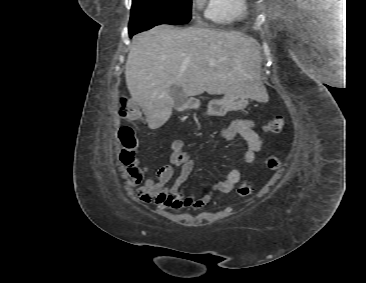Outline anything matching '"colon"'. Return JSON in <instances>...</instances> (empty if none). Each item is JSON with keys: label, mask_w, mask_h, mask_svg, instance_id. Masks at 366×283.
<instances>
[{"label": "colon", "mask_w": 366, "mask_h": 283, "mask_svg": "<svg viewBox=\"0 0 366 283\" xmlns=\"http://www.w3.org/2000/svg\"><path fill=\"white\" fill-rule=\"evenodd\" d=\"M119 114L121 117L127 120H137L140 116V110L137 104L131 99H124L119 108ZM285 126V119L281 115L272 117L265 125V130L268 133L277 134L280 133ZM119 138L122 142L123 149L121 151V160L124 163H131L134 161L135 152L138 146V141L130 127H123L120 129ZM266 166L270 170H278L281 168V161L274 157L269 156L266 159ZM253 190V182L246 179L242 182L238 188V195L240 197H247Z\"/></svg>", "instance_id": "colon-1"}]
</instances>
